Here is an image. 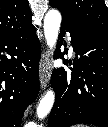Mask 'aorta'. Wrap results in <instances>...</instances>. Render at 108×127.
I'll use <instances>...</instances> for the list:
<instances>
[{
	"label": "aorta",
	"mask_w": 108,
	"mask_h": 127,
	"mask_svg": "<svg viewBox=\"0 0 108 127\" xmlns=\"http://www.w3.org/2000/svg\"><path fill=\"white\" fill-rule=\"evenodd\" d=\"M61 25V14L56 9L49 10L44 17V34L50 49L55 48ZM55 100L53 90H49L40 100L37 107V116L43 119L50 112Z\"/></svg>",
	"instance_id": "obj_1"
}]
</instances>
